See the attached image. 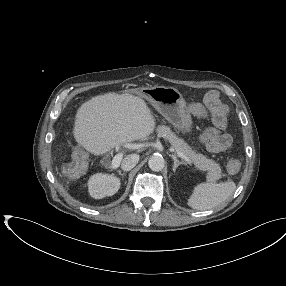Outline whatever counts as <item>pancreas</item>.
I'll use <instances>...</instances> for the list:
<instances>
[{
    "label": "pancreas",
    "mask_w": 286,
    "mask_h": 286,
    "mask_svg": "<svg viewBox=\"0 0 286 286\" xmlns=\"http://www.w3.org/2000/svg\"><path fill=\"white\" fill-rule=\"evenodd\" d=\"M158 135L167 139L175 151L184 153L195 167L201 171H206V178L208 181H216L221 178V168L214 160L206 158L200 153H196L191 147L183 140L178 138L171 129L165 125L157 128Z\"/></svg>",
    "instance_id": "1"
}]
</instances>
